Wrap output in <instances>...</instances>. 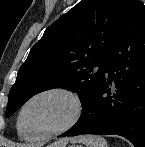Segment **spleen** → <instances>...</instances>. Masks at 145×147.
Returning <instances> with one entry per match:
<instances>
[{
  "label": "spleen",
  "mask_w": 145,
  "mask_h": 147,
  "mask_svg": "<svg viewBox=\"0 0 145 147\" xmlns=\"http://www.w3.org/2000/svg\"><path fill=\"white\" fill-rule=\"evenodd\" d=\"M78 141L82 142L87 147H108L106 140L100 136H81L78 138Z\"/></svg>",
  "instance_id": "3e777b00"
}]
</instances>
